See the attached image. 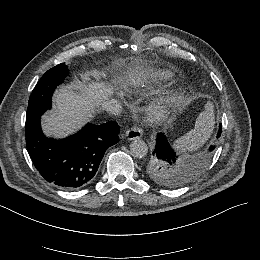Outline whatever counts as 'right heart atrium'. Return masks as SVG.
Here are the masks:
<instances>
[{"mask_svg": "<svg viewBox=\"0 0 260 260\" xmlns=\"http://www.w3.org/2000/svg\"><path fill=\"white\" fill-rule=\"evenodd\" d=\"M115 95V90L107 79L98 82L92 91V101L95 105L107 107L112 101L111 98Z\"/></svg>", "mask_w": 260, "mask_h": 260, "instance_id": "right-heart-atrium-1", "label": "right heart atrium"}]
</instances>
